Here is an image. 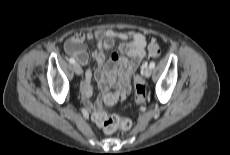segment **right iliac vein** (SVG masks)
Wrapping results in <instances>:
<instances>
[{
  "label": "right iliac vein",
  "instance_id": "1",
  "mask_svg": "<svg viewBox=\"0 0 230 155\" xmlns=\"http://www.w3.org/2000/svg\"><path fill=\"white\" fill-rule=\"evenodd\" d=\"M73 70L77 75H81L82 74V68L78 63H74L73 64Z\"/></svg>",
  "mask_w": 230,
  "mask_h": 155
}]
</instances>
